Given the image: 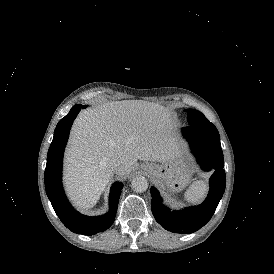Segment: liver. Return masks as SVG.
Listing matches in <instances>:
<instances>
[{
  "label": "liver",
  "instance_id": "liver-1",
  "mask_svg": "<svg viewBox=\"0 0 274 274\" xmlns=\"http://www.w3.org/2000/svg\"><path fill=\"white\" fill-rule=\"evenodd\" d=\"M170 113L143 100L110 102L76 118L66 160V182L76 205L87 210L115 174L128 176L136 161L165 163L177 153ZM115 159L122 169L113 168Z\"/></svg>",
  "mask_w": 274,
  "mask_h": 274
}]
</instances>
